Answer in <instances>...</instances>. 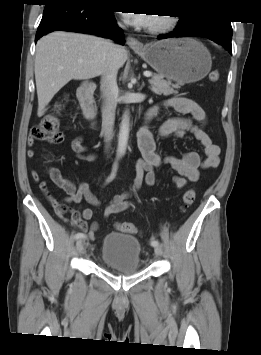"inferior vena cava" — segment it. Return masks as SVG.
<instances>
[{"instance_id":"1","label":"inferior vena cava","mask_w":261,"mask_h":355,"mask_svg":"<svg viewBox=\"0 0 261 355\" xmlns=\"http://www.w3.org/2000/svg\"><path fill=\"white\" fill-rule=\"evenodd\" d=\"M118 45L107 44L105 67L101 76L100 90L104 99L102 106V125L105 133V141L109 143L115 121L117 72L119 69Z\"/></svg>"}]
</instances>
